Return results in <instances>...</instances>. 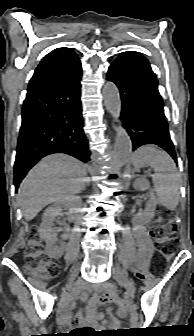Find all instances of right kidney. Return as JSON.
Masks as SVG:
<instances>
[{
	"label": "right kidney",
	"mask_w": 194,
	"mask_h": 336,
	"mask_svg": "<svg viewBox=\"0 0 194 336\" xmlns=\"http://www.w3.org/2000/svg\"><path fill=\"white\" fill-rule=\"evenodd\" d=\"M82 204L79 196L65 197L49 206L42 215V222L39 227V235L46 242V249L51 257L59 258L64 251V243L57 245V234L53 229L55 217L61 214L63 209L68 210V220L72 219L73 213Z\"/></svg>",
	"instance_id": "1"
}]
</instances>
